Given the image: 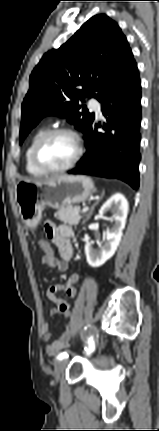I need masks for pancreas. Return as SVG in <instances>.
<instances>
[{
  "label": "pancreas",
  "mask_w": 159,
  "mask_h": 431,
  "mask_svg": "<svg viewBox=\"0 0 159 431\" xmlns=\"http://www.w3.org/2000/svg\"><path fill=\"white\" fill-rule=\"evenodd\" d=\"M58 220L68 223L69 225L77 226L83 216L80 214L78 206L68 205L60 208L54 215Z\"/></svg>",
  "instance_id": "cf45deb5"
}]
</instances>
